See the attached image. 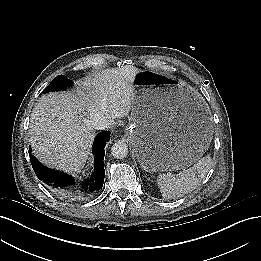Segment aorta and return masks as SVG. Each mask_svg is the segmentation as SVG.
<instances>
[{"label": "aorta", "mask_w": 261, "mask_h": 261, "mask_svg": "<svg viewBox=\"0 0 261 261\" xmlns=\"http://www.w3.org/2000/svg\"><path fill=\"white\" fill-rule=\"evenodd\" d=\"M112 155L117 159H123L128 155V146L126 143L117 141L111 147Z\"/></svg>", "instance_id": "762f6f07"}]
</instances>
